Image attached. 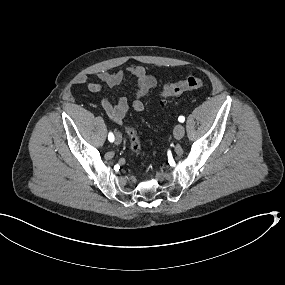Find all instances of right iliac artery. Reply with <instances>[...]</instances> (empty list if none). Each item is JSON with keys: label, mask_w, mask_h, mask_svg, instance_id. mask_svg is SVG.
Here are the masks:
<instances>
[{"label": "right iliac artery", "mask_w": 285, "mask_h": 285, "mask_svg": "<svg viewBox=\"0 0 285 285\" xmlns=\"http://www.w3.org/2000/svg\"><path fill=\"white\" fill-rule=\"evenodd\" d=\"M108 140L110 141V142H113L114 141V135H113V133H109V135H108Z\"/></svg>", "instance_id": "1"}]
</instances>
